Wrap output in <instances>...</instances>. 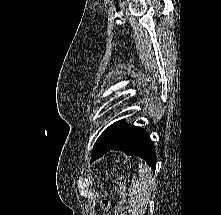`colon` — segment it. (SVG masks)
<instances>
[{
  "label": "colon",
  "mask_w": 221,
  "mask_h": 215,
  "mask_svg": "<svg viewBox=\"0 0 221 215\" xmlns=\"http://www.w3.org/2000/svg\"><path fill=\"white\" fill-rule=\"evenodd\" d=\"M124 184H125V179L124 177H119L117 180V185H118V190L122 198L125 197V192H124ZM108 202L105 201L103 202V207L107 208L108 207ZM115 215H128L127 209L124 205L120 204L115 211Z\"/></svg>",
  "instance_id": "obj_1"
}]
</instances>
